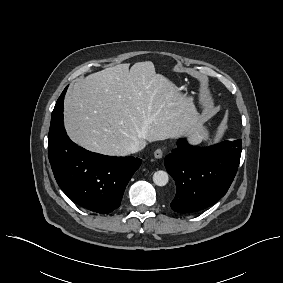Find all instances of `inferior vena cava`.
<instances>
[{"label":"inferior vena cava","mask_w":283,"mask_h":283,"mask_svg":"<svg viewBox=\"0 0 283 283\" xmlns=\"http://www.w3.org/2000/svg\"><path fill=\"white\" fill-rule=\"evenodd\" d=\"M143 148H144V145L141 142L135 141L129 145L128 151L130 153H136L142 150Z\"/></svg>","instance_id":"1"}]
</instances>
